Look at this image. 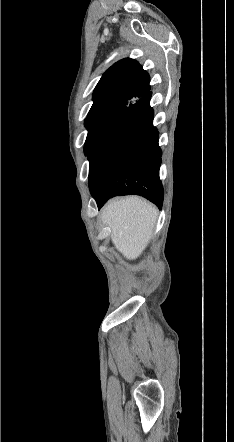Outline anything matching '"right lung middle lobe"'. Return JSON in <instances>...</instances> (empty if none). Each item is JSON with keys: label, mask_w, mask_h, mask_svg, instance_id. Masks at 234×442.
I'll return each mask as SVG.
<instances>
[{"label": "right lung middle lobe", "mask_w": 234, "mask_h": 442, "mask_svg": "<svg viewBox=\"0 0 234 442\" xmlns=\"http://www.w3.org/2000/svg\"><path fill=\"white\" fill-rule=\"evenodd\" d=\"M117 114H102L85 119V127L88 129V135L84 145V152L86 156H89L99 139L107 130L109 125L115 119Z\"/></svg>", "instance_id": "dd1d6c3e"}]
</instances>
